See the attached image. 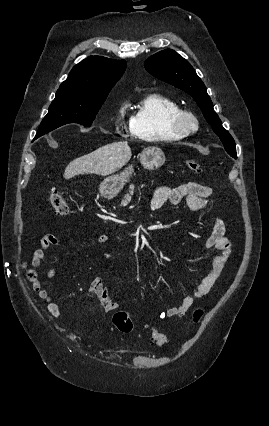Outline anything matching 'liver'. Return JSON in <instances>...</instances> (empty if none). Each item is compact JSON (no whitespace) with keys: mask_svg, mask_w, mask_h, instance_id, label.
<instances>
[{"mask_svg":"<svg viewBox=\"0 0 269 426\" xmlns=\"http://www.w3.org/2000/svg\"><path fill=\"white\" fill-rule=\"evenodd\" d=\"M131 156V148L126 141L110 143L71 161L65 168L64 178L83 174L107 176L122 168Z\"/></svg>","mask_w":269,"mask_h":426,"instance_id":"6515ba94","label":"liver"}]
</instances>
